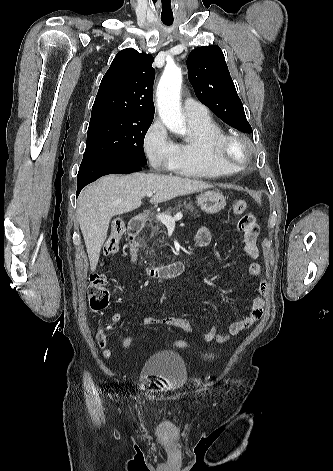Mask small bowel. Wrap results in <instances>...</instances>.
Listing matches in <instances>:
<instances>
[{"label": "small bowel", "mask_w": 333, "mask_h": 471, "mask_svg": "<svg viewBox=\"0 0 333 471\" xmlns=\"http://www.w3.org/2000/svg\"><path fill=\"white\" fill-rule=\"evenodd\" d=\"M238 230L243 233L244 250L246 254L252 259L259 256V249L257 246V238L259 235V227L252 215H245L238 223ZM211 234L208 228L200 227L195 234V243L199 247H206L210 244ZM248 272L252 276H259L262 273V268L259 263L253 262L248 267ZM268 284L265 280L260 282L258 292L252 300L250 311L243 319L233 322L226 333H219L215 326L210 327L203 335L205 342L217 341L218 343H225L237 334L247 330L263 316L266 299L268 297ZM120 320V315L115 313L112 315L106 325L117 323ZM145 326H152L158 324L173 326L184 333H191L193 326L190 321L185 317H152L145 316L142 319ZM106 325L101 327L96 334V341L98 346L102 349L103 355L106 358L112 356L113 352L107 345Z\"/></svg>", "instance_id": "small-bowel-1"}]
</instances>
